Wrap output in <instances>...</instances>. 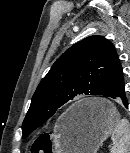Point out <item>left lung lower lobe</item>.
<instances>
[{"instance_id": "0a47b994", "label": "left lung lower lobe", "mask_w": 130, "mask_h": 153, "mask_svg": "<svg viewBox=\"0 0 130 153\" xmlns=\"http://www.w3.org/2000/svg\"><path fill=\"white\" fill-rule=\"evenodd\" d=\"M124 88L125 84L123 80V71L118 58L107 77L106 83L100 95L113 99H120L122 100L123 104L128 107V101ZM83 111H85V108L79 110V112Z\"/></svg>"}]
</instances>
